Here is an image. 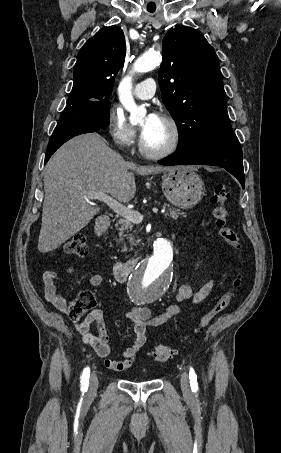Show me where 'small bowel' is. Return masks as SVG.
<instances>
[{
  "label": "small bowel",
  "instance_id": "obj_1",
  "mask_svg": "<svg viewBox=\"0 0 281 453\" xmlns=\"http://www.w3.org/2000/svg\"><path fill=\"white\" fill-rule=\"evenodd\" d=\"M57 274L54 270H46L41 277V288L44 297L50 301L61 312H67L70 308L69 301L63 297L56 288L55 278ZM89 283L94 286H101L102 277L99 273H91L89 275ZM212 283L209 282L203 289L198 292H193L192 289L183 285L176 298L175 305L168 307L161 314L151 317L149 311L145 307L125 305V312L128 319L133 324L134 341L132 345L123 352L121 359L109 358L111 352V345L109 342V335L106 331L105 314L101 309H94L92 314L85 319L83 323H77L76 328L82 333L84 342L93 348L97 356L106 360V366L110 371H120L129 368L136 360L137 352L146 343V331L150 327H160L167 323L173 316L178 313V304L184 302L199 303L208 295ZM96 322L98 334L94 335L87 329L88 326Z\"/></svg>",
  "mask_w": 281,
  "mask_h": 453
}]
</instances>
